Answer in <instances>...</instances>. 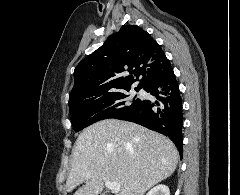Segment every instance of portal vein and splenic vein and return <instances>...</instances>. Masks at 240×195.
<instances>
[{
  "label": "portal vein and splenic vein",
  "mask_w": 240,
  "mask_h": 195,
  "mask_svg": "<svg viewBox=\"0 0 240 195\" xmlns=\"http://www.w3.org/2000/svg\"><path fill=\"white\" fill-rule=\"evenodd\" d=\"M86 177H91L90 171L86 173ZM105 187H109L114 193H119L121 185L118 181H105Z\"/></svg>",
  "instance_id": "1"
}]
</instances>
